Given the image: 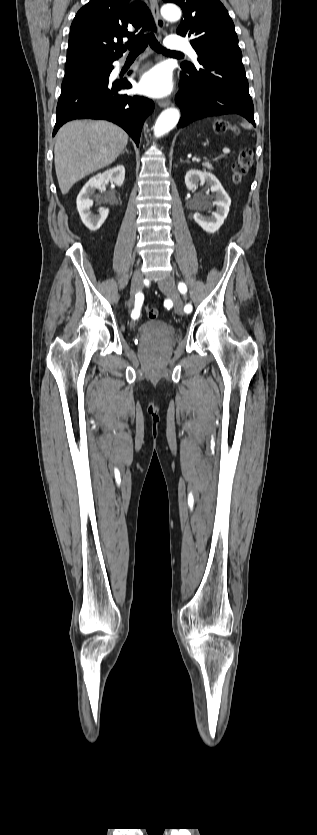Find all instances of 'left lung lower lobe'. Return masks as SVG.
<instances>
[{
  "mask_svg": "<svg viewBox=\"0 0 317 835\" xmlns=\"http://www.w3.org/2000/svg\"><path fill=\"white\" fill-rule=\"evenodd\" d=\"M197 68L182 69L176 103L183 111L177 128L198 119L237 114L254 126V106L241 57H199Z\"/></svg>",
  "mask_w": 317,
  "mask_h": 835,
  "instance_id": "0a47b994",
  "label": "left lung lower lobe"
}]
</instances>
